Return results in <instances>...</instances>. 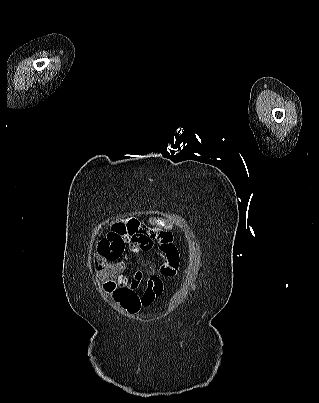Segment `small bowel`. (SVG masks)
Returning a JSON list of instances; mask_svg holds the SVG:
<instances>
[{
	"label": "small bowel",
	"instance_id": "small-bowel-1",
	"mask_svg": "<svg viewBox=\"0 0 319 403\" xmlns=\"http://www.w3.org/2000/svg\"><path fill=\"white\" fill-rule=\"evenodd\" d=\"M116 224L99 232L94 267L97 277L106 281V288L118 307L128 313H137L160 298L163 287L170 285L171 278L181 265L182 256L168 232L144 228L135 221H129L126 213L119 215ZM131 251L152 252L156 256L157 273L146 280V289L141 296L136 291L143 280V273L135 271L130 277L124 275L125 259Z\"/></svg>",
	"mask_w": 319,
	"mask_h": 403
}]
</instances>
